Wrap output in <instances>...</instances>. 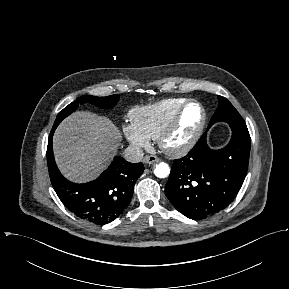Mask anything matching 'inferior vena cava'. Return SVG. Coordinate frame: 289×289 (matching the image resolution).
<instances>
[{
  "mask_svg": "<svg viewBox=\"0 0 289 289\" xmlns=\"http://www.w3.org/2000/svg\"><path fill=\"white\" fill-rule=\"evenodd\" d=\"M124 157L128 162L137 163L142 161L144 152L136 146H128L124 151Z\"/></svg>",
  "mask_w": 289,
  "mask_h": 289,
  "instance_id": "1",
  "label": "inferior vena cava"
}]
</instances>
